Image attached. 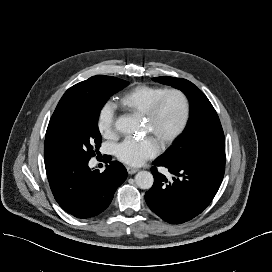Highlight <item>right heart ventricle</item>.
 <instances>
[{
    "label": "right heart ventricle",
    "instance_id": "e07e8e85",
    "mask_svg": "<svg viewBox=\"0 0 272 272\" xmlns=\"http://www.w3.org/2000/svg\"><path fill=\"white\" fill-rule=\"evenodd\" d=\"M166 90L167 88L163 86L138 85L122 96L120 104L135 114L144 115Z\"/></svg>",
    "mask_w": 272,
    "mask_h": 272
}]
</instances>
